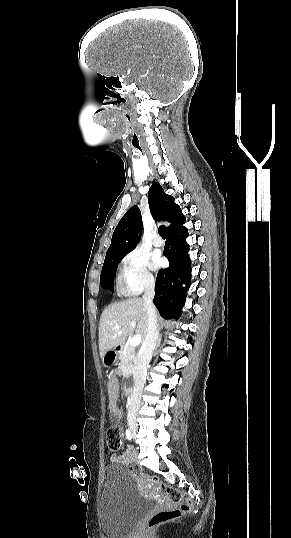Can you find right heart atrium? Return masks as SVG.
Instances as JSON below:
<instances>
[{"label": "right heart atrium", "instance_id": "right-heart-atrium-1", "mask_svg": "<svg viewBox=\"0 0 291 538\" xmlns=\"http://www.w3.org/2000/svg\"><path fill=\"white\" fill-rule=\"evenodd\" d=\"M119 271L125 291L130 295H138L154 286L155 279L148 269V260L137 250L122 258Z\"/></svg>", "mask_w": 291, "mask_h": 538}]
</instances>
